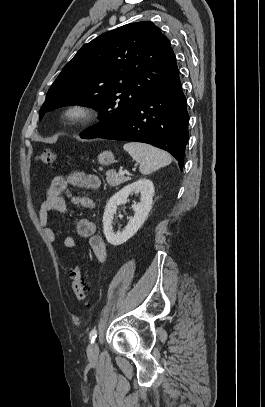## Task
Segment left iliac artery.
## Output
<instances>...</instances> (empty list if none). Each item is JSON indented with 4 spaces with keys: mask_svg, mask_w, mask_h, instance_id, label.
I'll list each match as a JSON object with an SVG mask.
<instances>
[{
    "mask_svg": "<svg viewBox=\"0 0 265 407\" xmlns=\"http://www.w3.org/2000/svg\"><path fill=\"white\" fill-rule=\"evenodd\" d=\"M96 337H97V330L96 329L91 330V332L89 334V338L91 339V343L94 342Z\"/></svg>",
    "mask_w": 265,
    "mask_h": 407,
    "instance_id": "1",
    "label": "left iliac artery"
}]
</instances>
